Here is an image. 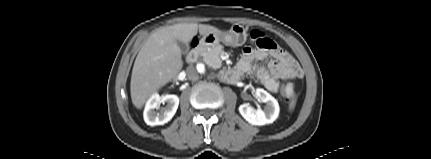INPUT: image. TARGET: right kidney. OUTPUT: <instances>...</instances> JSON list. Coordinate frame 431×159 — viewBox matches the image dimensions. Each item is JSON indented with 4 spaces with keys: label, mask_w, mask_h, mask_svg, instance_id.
Returning <instances> with one entry per match:
<instances>
[{
    "label": "right kidney",
    "mask_w": 431,
    "mask_h": 159,
    "mask_svg": "<svg viewBox=\"0 0 431 159\" xmlns=\"http://www.w3.org/2000/svg\"><path fill=\"white\" fill-rule=\"evenodd\" d=\"M161 103H167L159 112L155 111L160 108ZM179 98L176 95L159 96L154 94L147 101L144 109V120L147 125H163L170 121L177 111Z\"/></svg>",
    "instance_id": "right-kidney-1"
}]
</instances>
